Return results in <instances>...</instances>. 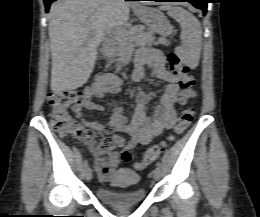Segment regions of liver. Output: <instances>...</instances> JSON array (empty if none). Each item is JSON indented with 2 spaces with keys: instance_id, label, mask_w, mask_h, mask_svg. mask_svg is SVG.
<instances>
[{
  "instance_id": "1",
  "label": "liver",
  "mask_w": 260,
  "mask_h": 217,
  "mask_svg": "<svg viewBox=\"0 0 260 217\" xmlns=\"http://www.w3.org/2000/svg\"><path fill=\"white\" fill-rule=\"evenodd\" d=\"M129 6L124 0H58L51 5L53 93L77 89L88 81L105 33L122 29Z\"/></svg>"
}]
</instances>
